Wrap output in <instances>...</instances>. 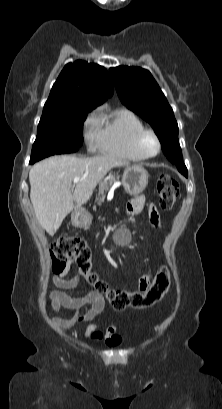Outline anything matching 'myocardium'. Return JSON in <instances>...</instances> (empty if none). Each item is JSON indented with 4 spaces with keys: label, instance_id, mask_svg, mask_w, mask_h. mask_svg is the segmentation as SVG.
<instances>
[{
    "label": "myocardium",
    "instance_id": "1",
    "mask_svg": "<svg viewBox=\"0 0 222 409\" xmlns=\"http://www.w3.org/2000/svg\"><path fill=\"white\" fill-rule=\"evenodd\" d=\"M148 135H149V136H152L153 139H154L155 142H156V151H155L154 153H152V154L147 153V152L145 151L144 145H143L144 139H145V137L148 136ZM134 145H135V148H136L137 152H138L142 157H144L145 159L154 158V157H156V156L160 153V151H161V141H160V139H159V136L157 135V133H156L154 130L148 129V128H143L142 130H140V131L136 134L135 139H134Z\"/></svg>",
    "mask_w": 222,
    "mask_h": 409
}]
</instances>
